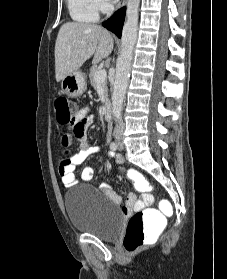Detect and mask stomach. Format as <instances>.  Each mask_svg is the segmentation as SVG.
I'll return each mask as SVG.
<instances>
[{
    "label": "stomach",
    "instance_id": "1",
    "mask_svg": "<svg viewBox=\"0 0 227 279\" xmlns=\"http://www.w3.org/2000/svg\"><path fill=\"white\" fill-rule=\"evenodd\" d=\"M86 89L84 75L80 71H74L61 80V91L68 97H78Z\"/></svg>",
    "mask_w": 227,
    "mask_h": 279
}]
</instances>
